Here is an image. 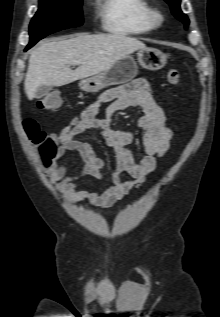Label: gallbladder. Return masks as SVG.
Listing matches in <instances>:
<instances>
[{"instance_id": "bac80fb5", "label": "gallbladder", "mask_w": 220, "mask_h": 317, "mask_svg": "<svg viewBox=\"0 0 220 317\" xmlns=\"http://www.w3.org/2000/svg\"><path fill=\"white\" fill-rule=\"evenodd\" d=\"M52 90L51 86L44 85L38 88L36 91V98H42Z\"/></svg>"}]
</instances>
